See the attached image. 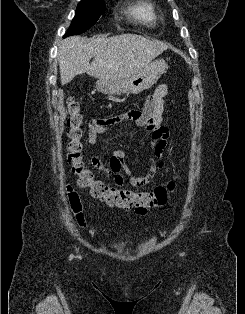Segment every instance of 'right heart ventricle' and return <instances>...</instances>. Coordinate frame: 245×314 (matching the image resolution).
Instances as JSON below:
<instances>
[{
    "instance_id": "1",
    "label": "right heart ventricle",
    "mask_w": 245,
    "mask_h": 314,
    "mask_svg": "<svg viewBox=\"0 0 245 314\" xmlns=\"http://www.w3.org/2000/svg\"><path fill=\"white\" fill-rule=\"evenodd\" d=\"M125 12L130 18L148 25H156L158 20L156 7L150 0H135Z\"/></svg>"
}]
</instances>
